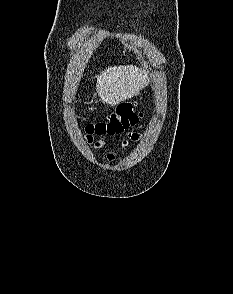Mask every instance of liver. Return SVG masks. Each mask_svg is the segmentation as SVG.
Returning <instances> with one entry per match:
<instances>
[{"label": "liver", "mask_w": 233, "mask_h": 294, "mask_svg": "<svg viewBox=\"0 0 233 294\" xmlns=\"http://www.w3.org/2000/svg\"><path fill=\"white\" fill-rule=\"evenodd\" d=\"M95 78L96 94L112 106L136 96L149 83L146 71L133 65L108 67Z\"/></svg>", "instance_id": "obj_1"}]
</instances>
